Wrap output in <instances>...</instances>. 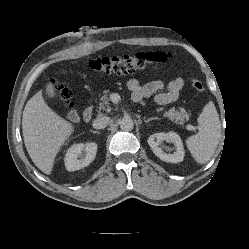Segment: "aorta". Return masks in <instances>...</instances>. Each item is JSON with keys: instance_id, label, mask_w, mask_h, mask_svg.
Listing matches in <instances>:
<instances>
[{"instance_id": "1", "label": "aorta", "mask_w": 249, "mask_h": 249, "mask_svg": "<svg viewBox=\"0 0 249 249\" xmlns=\"http://www.w3.org/2000/svg\"><path fill=\"white\" fill-rule=\"evenodd\" d=\"M120 127L124 131H131L134 128V122L131 118H124L120 122Z\"/></svg>"}]
</instances>
